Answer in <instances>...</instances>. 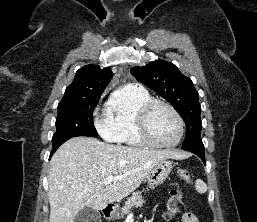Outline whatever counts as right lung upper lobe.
Segmentation results:
<instances>
[{
    "instance_id": "cb5924a9",
    "label": "right lung upper lobe",
    "mask_w": 257,
    "mask_h": 222,
    "mask_svg": "<svg viewBox=\"0 0 257 222\" xmlns=\"http://www.w3.org/2000/svg\"><path fill=\"white\" fill-rule=\"evenodd\" d=\"M113 77L110 69H101L97 65H86L80 68L73 82L66 88L62 100L101 96Z\"/></svg>"
}]
</instances>
